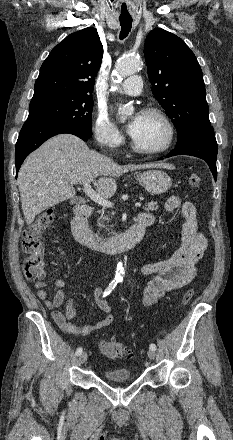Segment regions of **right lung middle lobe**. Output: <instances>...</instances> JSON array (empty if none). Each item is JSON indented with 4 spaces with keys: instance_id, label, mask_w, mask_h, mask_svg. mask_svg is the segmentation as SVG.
<instances>
[{
    "instance_id": "right-lung-middle-lobe-1",
    "label": "right lung middle lobe",
    "mask_w": 233,
    "mask_h": 440,
    "mask_svg": "<svg viewBox=\"0 0 233 440\" xmlns=\"http://www.w3.org/2000/svg\"><path fill=\"white\" fill-rule=\"evenodd\" d=\"M92 97H58L30 103L28 121H46L75 126L87 136H92Z\"/></svg>"
}]
</instances>
